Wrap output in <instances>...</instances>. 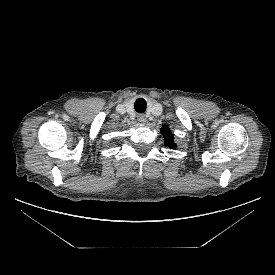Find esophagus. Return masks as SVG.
I'll list each match as a JSON object with an SVG mask.
<instances>
[{"instance_id":"esophagus-1","label":"esophagus","mask_w":275,"mask_h":275,"mask_svg":"<svg viewBox=\"0 0 275 275\" xmlns=\"http://www.w3.org/2000/svg\"><path fill=\"white\" fill-rule=\"evenodd\" d=\"M137 119H138V121H139L140 123H143V124H145V123L147 122V118H146V116H145L144 114H139V115L137 116Z\"/></svg>"}]
</instances>
